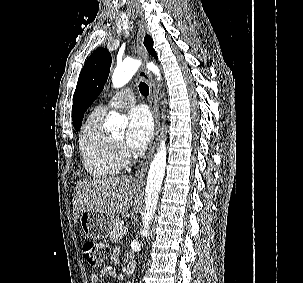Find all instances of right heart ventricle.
I'll list each match as a JSON object with an SVG mask.
<instances>
[{
  "mask_svg": "<svg viewBox=\"0 0 303 283\" xmlns=\"http://www.w3.org/2000/svg\"><path fill=\"white\" fill-rule=\"evenodd\" d=\"M104 115L105 112L95 108L85 120L79 136L84 168L98 179L116 176L123 165L112 137L103 127Z\"/></svg>",
  "mask_w": 303,
  "mask_h": 283,
  "instance_id": "1",
  "label": "right heart ventricle"
}]
</instances>
